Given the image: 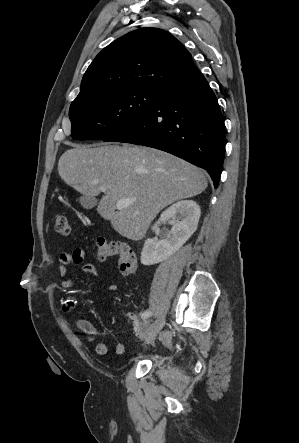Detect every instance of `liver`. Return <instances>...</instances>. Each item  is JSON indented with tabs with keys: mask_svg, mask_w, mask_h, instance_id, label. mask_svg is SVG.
I'll list each match as a JSON object with an SVG mask.
<instances>
[{
	"mask_svg": "<svg viewBox=\"0 0 299 443\" xmlns=\"http://www.w3.org/2000/svg\"><path fill=\"white\" fill-rule=\"evenodd\" d=\"M58 172L85 196H97L105 188L98 214L132 240L143 238L164 207L196 196L208 185L200 168L153 148L129 145H75L60 157ZM124 198L133 199L132 204L118 209L117 201Z\"/></svg>",
	"mask_w": 299,
	"mask_h": 443,
	"instance_id": "6515ba94",
	"label": "liver"
}]
</instances>
